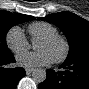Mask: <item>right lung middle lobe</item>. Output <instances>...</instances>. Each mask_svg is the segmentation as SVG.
<instances>
[{"instance_id":"dd1d6c3e","label":"right lung middle lobe","mask_w":89,"mask_h":89,"mask_svg":"<svg viewBox=\"0 0 89 89\" xmlns=\"http://www.w3.org/2000/svg\"><path fill=\"white\" fill-rule=\"evenodd\" d=\"M30 20H32V18L25 17L21 14L0 11V56H4L11 52L6 44V34L8 30L14 25Z\"/></svg>"}]
</instances>
